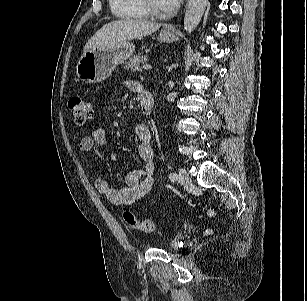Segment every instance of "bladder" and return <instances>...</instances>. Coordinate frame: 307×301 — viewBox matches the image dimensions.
<instances>
[{"label":"bladder","mask_w":307,"mask_h":301,"mask_svg":"<svg viewBox=\"0 0 307 301\" xmlns=\"http://www.w3.org/2000/svg\"><path fill=\"white\" fill-rule=\"evenodd\" d=\"M168 249H170V250H176V249H178V247H179V243H178V241L176 240V239H173V240H171L170 242H169V244H168Z\"/></svg>","instance_id":"31cf9c89"}]
</instances>
